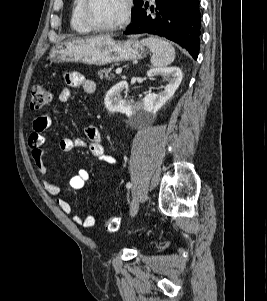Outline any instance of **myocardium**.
I'll list each match as a JSON object with an SVG mask.
<instances>
[{"label":"myocardium","instance_id":"obj_1","mask_svg":"<svg viewBox=\"0 0 267 301\" xmlns=\"http://www.w3.org/2000/svg\"><path fill=\"white\" fill-rule=\"evenodd\" d=\"M124 11L121 18L113 24L109 25H100L96 23L92 17L90 16V7L92 4V0H83L82 5V16L85 23L95 31H103V32H110L116 31L121 29L122 27L126 26L130 20L132 14L133 3L132 0H124Z\"/></svg>","mask_w":267,"mask_h":301}]
</instances>
